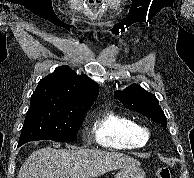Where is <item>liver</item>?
<instances>
[{"label": "liver", "mask_w": 194, "mask_h": 178, "mask_svg": "<svg viewBox=\"0 0 194 178\" xmlns=\"http://www.w3.org/2000/svg\"><path fill=\"white\" fill-rule=\"evenodd\" d=\"M134 166H140V162L119 152L47 147L27 158L17 178H95Z\"/></svg>", "instance_id": "1"}]
</instances>
